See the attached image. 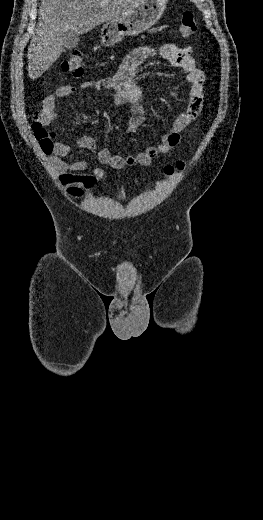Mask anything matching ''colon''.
Here are the masks:
<instances>
[{"label": "colon", "instance_id": "1", "mask_svg": "<svg viewBox=\"0 0 263 520\" xmlns=\"http://www.w3.org/2000/svg\"><path fill=\"white\" fill-rule=\"evenodd\" d=\"M198 25L194 14L190 11L183 13L179 30L183 37L187 38L194 35L197 31ZM62 71L70 74L73 77H80L84 73V63L80 52H72L67 59L62 63ZM34 135L39 142L42 151L46 154H50L53 150V133L47 130L38 120L32 125ZM185 167L183 161H178L175 165H168L163 169L162 175L167 178L175 176L181 172Z\"/></svg>", "mask_w": 263, "mask_h": 520}]
</instances>
